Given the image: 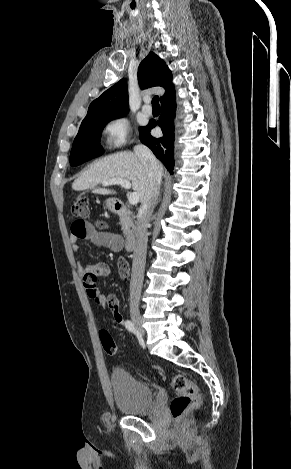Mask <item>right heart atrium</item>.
Wrapping results in <instances>:
<instances>
[{
  "mask_svg": "<svg viewBox=\"0 0 291 469\" xmlns=\"http://www.w3.org/2000/svg\"><path fill=\"white\" fill-rule=\"evenodd\" d=\"M105 144L109 149L124 147L131 138V125L124 116L110 119L103 127Z\"/></svg>",
  "mask_w": 291,
  "mask_h": 469,
  "instance_id": "obj_1",
  "label": "right heart atrium"
}]
</instances>
